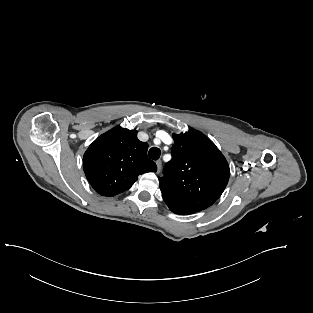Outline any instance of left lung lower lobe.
Returning a JSON list of instances; mask_svg holds the SVG:
<instances>
[{"instance_id": "1", "label": "left lung lower lobe", "mask_w": 313, "mask_h": 313, "mask_svg": "<svg viewBox=\"0 0 313 313\" xmlns=\"http://www.w3.org/2000/svg\"><path fill=\"white\" fill-rule=\"evenodd\" d=\"M165 203L167 204V206L169 207V209L175 213V214H180V215H189V214H194L198 211H195L189 207H186L182 204H179L175 201H172L170 199H167L165 197H163Z\"/></svg>"}]
</instances>
